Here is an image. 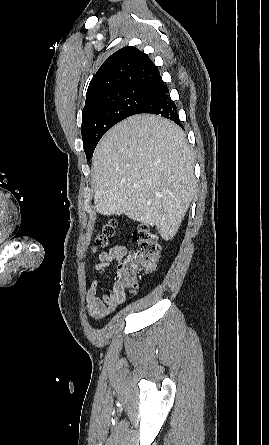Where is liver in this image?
I'll list each match as a JSON object with an SVG mask.
<instances>
[{
    "label": "liver",
    "mask_w": 269,
    "mask_h": 445,
    "mask_svg": "<svg viewBox=\"0 0 269 445\" xmlns=\"http://www.w3.org/2000/svg\"><path fill=\"white\" fill-rule=\"evenodd\" d=\"M98 213L124 214L176 234L196 191L194 157L183 130L156 115L131 116L111 128L94 152Z\"/></svg>",
    "instance_id": "obj_1"
}]
</instances>
